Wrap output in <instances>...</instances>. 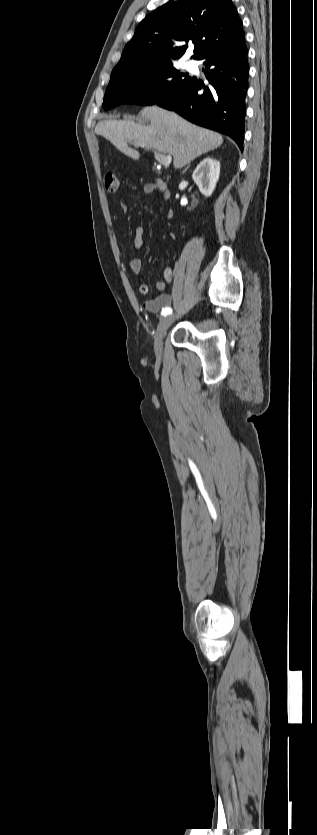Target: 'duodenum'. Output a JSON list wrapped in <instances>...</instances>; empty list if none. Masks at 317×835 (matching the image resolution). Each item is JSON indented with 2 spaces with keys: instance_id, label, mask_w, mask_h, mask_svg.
Listing matches in <instances>:
<instances>
[{
  "instance_id": "410a0bca",
  "label": "duodenum",
  "mask_w": 317,
  "mask_h": 835,
  "mask_svg": "<svg viewBox=\"0 0 317 835\" xmlns=\"http://www.w3.org/2000/svg\"><path fill=\"white\" fill-rule=\"evenodd\" d=\"M154 186L159 190L161 196L164 199H168L170 197V192L167 188L166 183L161 179H156L154 182Z\"/></svg>"
}]
</instances>
